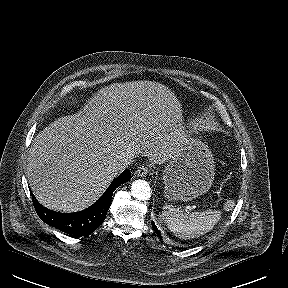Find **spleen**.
<instances>
[{
	"label": "spleen",
	"instance_id": "1",
	"mask_svg": "<svg viewBox=\"0 0 288 288\" xmlns=\"http://www.w3.org/2000/svg\"><path fill=\"white\" fill-rule=\"evenodd\" d=\"M162 215L170 231L184 240L206 234L221 218L218 210L184 213L173 205H164Z\"/></svg>",
	"mask_w": 288,
	"mask_h": 288
}]
</instances>
